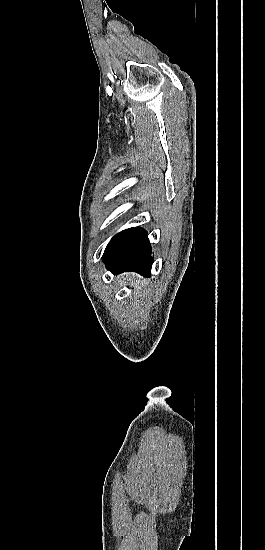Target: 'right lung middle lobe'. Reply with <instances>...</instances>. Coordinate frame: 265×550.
I'll return each mask as SVG.
<instances>
[{
    "instance_id": "dd1d6c3e",
    "label": "right lung middle lobe",
    "mask_w": 265,
    "mask_h": 550,
    "mask_svg": "<svg viewBox=\"0 0 265 550\" xmlns=\"http://www.w3.org/2000/svg\"><path fill=\"white\" fill-rule=\"evenodd\" d=\"M134 230V228H129V229H126V230H123L121 231L120 233L116 234L112 239L111 241L109 242V244L107 245L106 249H105V252L104 253H109L111 251H113L114 249H116L120 244L121 242Z\"/></svg>"
}]
</instances>
